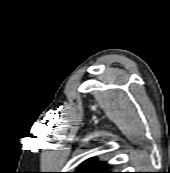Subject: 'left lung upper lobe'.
<instances>
[{"instance_id": "left-lung-upper-lobe-1", "label": "left lung upper lobe", "mask_w": 170, "mask_h": 173, "mask_svg": "<svg viewBox=\"0 0 170 173\" xmlns=\"http://www.w3.org/2000/svg\"><path fill=\"white\" fill-rule=\"evenodd\" d=\"M72 173H119L110 172L107 165L104 162H98L94 159L86 160L77 171Z\"/></svg>"}]
</instances>
